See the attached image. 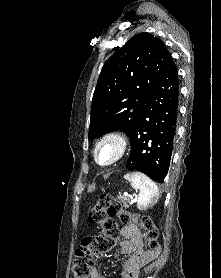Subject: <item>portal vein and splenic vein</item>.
I'll return each mask as SVG.
<instances>
[{
  "instance_id": "portal-vein-and-splenic-vein-1",
  "label": "portal vein and splenic vein",
  "mask_w": 221,
  "mask_h": 278,
  "mask_svg": "<svg viewBox=\"0 0 221 278\" xmlns=\"http://www.w3.org/2000/svg\"><path fill=\"white\" fill-rule=\"evenodd\" d=\"M124 195L130 197V196L128 195V193H124ZM130 198H131V200H132L133 202L135 201V200H133L132 197H130Z\"/></svg>"
}]
</instances>
